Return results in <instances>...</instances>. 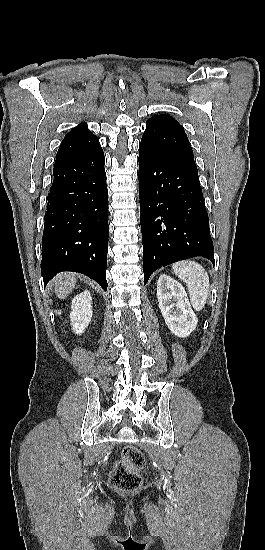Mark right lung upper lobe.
I'll return each instance as SVG.
<instances>
[{
	"mask_svg": "<svg viewBox=\"0 0 265 550\" xmlns=\"http://www.w3.org/2000/svg\"><path fill=\"white\" fill-rule=\"evenodd\" d=\"M98 137L82 123L67 133L58 149L55 163L85 156L101 150Z\"/></svg>",
	"mask_w": 265,
	"mask_h": 550,
	"instance_id": "cb5924a9",
	"label": "right lung upper lobe"
}]
</instances>
